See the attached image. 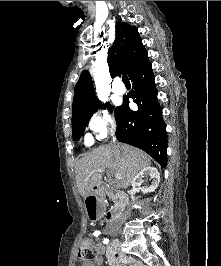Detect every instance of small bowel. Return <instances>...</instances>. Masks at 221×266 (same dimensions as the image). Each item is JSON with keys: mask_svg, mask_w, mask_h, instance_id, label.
<instances>
[{"mask_svg": "<svg viewBox=\"0 0 221 266\" xmlns=\"http://www.w3.org/2000/svg\"><path fill=\"white\" fill-rule=\"evenodd\" d=\"M96 232L93 233L94 236ZM96 248L98 252V256L96 257V259L91 262H84L82 266H100L102 263V254L106 255L110 266H144V264L139 261H133L123 256L112 247L105 249L99 241H97Z\"/></svg>", "mask_w": 221, "mask_h": 266, "instance_id": "1", "label": "small bowel"}]
</instances>
